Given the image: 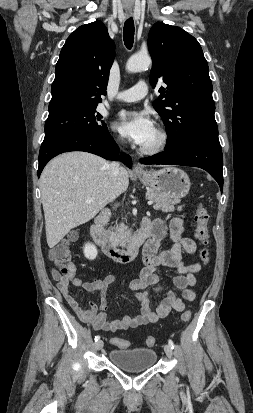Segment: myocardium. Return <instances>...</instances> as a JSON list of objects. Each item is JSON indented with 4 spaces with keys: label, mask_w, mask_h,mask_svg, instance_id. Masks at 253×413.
<instances>
[{
    "label": "myocardium",
    "mask_w": 253,
    "mask_h": 413,
    "mask_svg": "<svg viewBox=\"0 0 253 413\" xmlns=\"http://www.w3.org/2000/svg\"><path fill=\"white\" fill-rule=\"evenodd\" d=\"M155 129L158 134L157 142L154 145L148 147L140 146L139 150L141 153L146 155H154L162 152L167 147L169 143L168 131L162 125H157Z\"/></svg>",
    "instance_id": "obj_1"
}]
</instances>
